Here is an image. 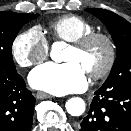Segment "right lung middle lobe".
Masks as SVG:
<instances>
[{
  "instance_id": "dd1d6c3e",
  "label": "right lung middle lobe",
  "mask_w": 131,
  "mask_h": 131,
  "mask_svg": "<svg viewBox=\"0 0 131 131\" xmlns=\"http://www.w3.org/2000/svg\"><path fill=\"white\" fill-rule=\"evenodd\" d=\"M39 14L0 12V70L15 71L12 44L19 30Z\"/></svg>"
}]
</instances>
